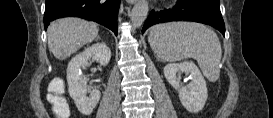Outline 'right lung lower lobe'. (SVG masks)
Segmentation results:
<instances>
[{
  "instance_id": "right-lung-lower-lobe-1",
  "label": "right lung lower lobe",
  "mask_w": 273,
  "mask_h": 118,
  "mask_svg": "<svg viewBox=\"0 0 273 118\" xmlns=\"http://www.w3.org/2000/svg\"><path fill=\"white\" fill-rule=\"evenodd\" d=\"M120 0H46L44 28L62 17H80L95 21L117 35V14Z\"/></svg>"
}]
</instances>
